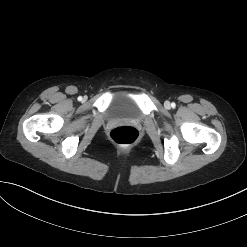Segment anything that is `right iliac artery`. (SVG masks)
Listing matches in <instances>:
<instances>
[{
	"label": "right iliac artery",
	"instance_id": "obj_1",
	"mask_svg": "<svg viewBox=\"0 0 247 247\" xmlns=\"http://www.w3.org/2000/svg\"><path fill=\"white\" fill-rule=\"evenodd\" d=\"M78 100H79V101H81V100H82V97H81V96H79V97H78Z\"/></svg>",
	"mask_w": 247,
	"mask_h": 247
}]
</instances>
